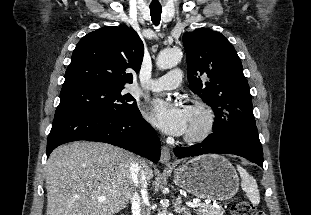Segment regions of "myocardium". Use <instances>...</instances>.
Instances as JSON below:
<instances>
[{"label": "myocardium", "instance_id": "obj_1", "mask_svg": "<svg viewBox=\"0 0 311 215\" xmlns=\"http://www.w3.org/2000/svg\"><path fill=\"white\" fill-rule=\"evenodd\" d=\"M187 109L201 116L202 125L197 131L186 133L184 140L188 143H200L212 133L215 126V114L212 109L203 102H193Z\"/></svg>", "mask_w": 311, "mask_h": 215}]
</instances>
